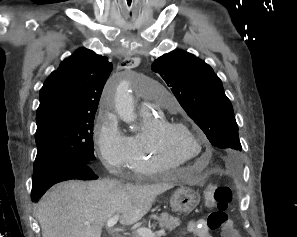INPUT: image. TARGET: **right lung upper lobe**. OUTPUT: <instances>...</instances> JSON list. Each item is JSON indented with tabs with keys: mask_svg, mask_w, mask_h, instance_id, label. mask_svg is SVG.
<instances>
[{
	"mask_svg": "<svg viewBox=\"0 0 297 237\" xmlns=\"http://www.w3.org/2000/svg\"><path fill=\"white\" fill-rule=\"evenodd\" d=\"M111 70L107 57L86 48L78 49L50 74L40 89L36 122L56 116L95 115Z\"/></svg>",
	"mask_w": 297,
	"mask_h": 237,
	"instance_id": "1",
	"label": "right lung upper lobe"
}]
</instances>
